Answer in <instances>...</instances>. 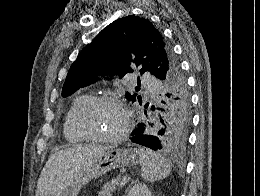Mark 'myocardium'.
<instances>
[{"instance_id":"myocardium-1","label":"myocardium","mask_w":260,"mask_h":196,"mask_svg":"<svg viewBox=\"0 0 260 196\" xmlns=\"http://www.w3.org/2000/svg\"><path fill=\"white\" fill-rule=\"evenodd\" d=\"M101 104L118 105L124 113L123 127L115 134L101 135L91 131L85 123L86 117ZM133 117L128 104L120 97L115 95H99L92 97L78 112L76 117V125L78 130L87 140L96 142H118L122 141L130 132Z\"/></svg>"}]
</instances>
